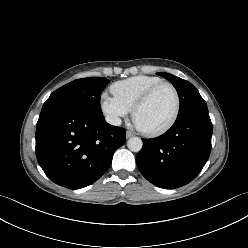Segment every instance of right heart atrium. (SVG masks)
<instances>
[{
  "mask_svg": "<svg viewBox=\"0 0 248 248\" xmlns=\"http://www.w3.org/2000/svg\"><path fill=\"white\" fill-rule=\"evenodd\" d=\"M101 109L109 122L118 125L131 111L122 101L114 95L104 92L101 95Z\"/></svg>",
  "mask_w": 248,
  "mask_h": 248,
  "instance_id": "right-heart-atrium-1",
  "label": "right heart atrium"
}]
</instances>
